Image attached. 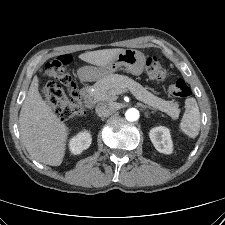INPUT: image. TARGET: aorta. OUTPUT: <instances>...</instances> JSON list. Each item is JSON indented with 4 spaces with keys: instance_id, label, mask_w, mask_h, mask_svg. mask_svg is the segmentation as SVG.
I'll use <instances>...</instances> for the list:
<instances>
[{
    "instance_id": "762f6f07",
    "label": "aorta",
    "mask_w": 225,
    "mask_h": 225,
    "mask_svg": "<svg viewBox=\"0 0 225 225\" xmlns=\"http://www.w3.org/2000/svg\"><path fill=\"white\" fill-rule=\"evenodd\" d=\"M139 116V111L136 108H129L125 113V118L130 122L137 121Z\"/></svg>"
}]
</instances>
